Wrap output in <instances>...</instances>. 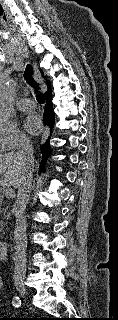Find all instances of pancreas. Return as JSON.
Returning <instances> with one entry per match:
<instances>
[{
	"mask_svg": "<svg viewBox=\"0 0 118 320\" xmlns=\"http://www.w3.org/2000/svg\"><path fill=\"white\" fill-rule=\"evenodd\" d=\"M2 204H3V197L0 195V207L2 206ZM2 210L4 212V219H8L9 214L7 213V208H3ZM3 228H4V223L0 221V233L3 232Z\"/></svg>",
	"mask_w": 118,
	"mask_h": 320,
	"instance_id": "cf45deb5",
	"label": "pancreas"
}]
</instances>
